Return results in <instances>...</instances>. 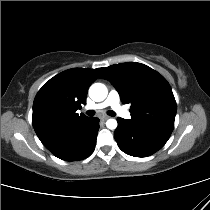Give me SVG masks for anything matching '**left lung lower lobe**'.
Instances as JSON below:
<instances>
[{"mask_svg": "<svg viewBox=\"0 0 210 210\" xmlns=\"http://www.w3.org/2000/svg\"><path fill=\"white\" fill-rule=\"evenodd\" d=\"M117 122L114 138L123 152L134 157L152 155L165 145L171 135L159 130L133 127L120 117Z\"/></svg>", "mask_w": 210, "mask_h": 210, "instance_id": "left-lung-lower-lobe-1", "label": "left lung lower lobe"}]
</instances>
